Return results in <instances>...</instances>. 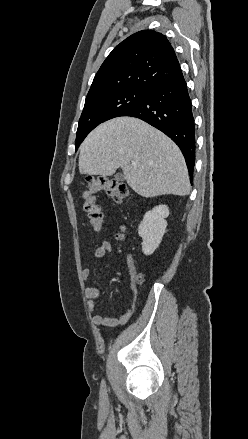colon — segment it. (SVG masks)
Instances as JSON below:
<instances>
[{
  "mask_svg": "<svg viewBox=\"0 0 248 439\" xmlns=\"http://www.w3.org/2000/svg\"><path fill=\"white\" fill-rule=\"evenodd\" d=\"M98 191H105L116 202H121L128 196L127 187L118 180L105 177L89 178L87 180V189L84 192V209L91 226L96 231L101 229L103 223L102 211L95 197V193ZM136 279L141 281L142 277L138 275Z\"/></svg>",
  "mask_w": 248,
  "mask_h": 439,
  "instance_id": "colon-1",
  "label": "colon"
}]
</instances>
